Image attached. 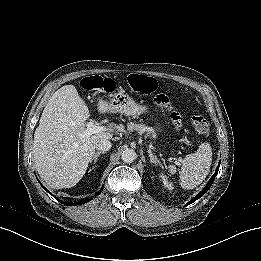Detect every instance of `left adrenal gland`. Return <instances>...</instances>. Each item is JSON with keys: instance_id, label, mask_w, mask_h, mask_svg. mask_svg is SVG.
I'll use <instances>...</instances> for the list:
<instances>
[{"instance_id": "1", "label": "left adrenal gland", "mask_w": 261, "mask_h": 261, "mask_svg": "<svg viewBox=\"0 0 261 261\" xmlns=\"http://www.w3.org/2000/svg\"><path fill=\"white\" fill-rule=\"evenodd\" d=\"M148 155L150 157V162L155 164V165H160L162 166L161 162L159 161V159L151 152L150 149H148Z\"/></svg>"}]
</instances>
